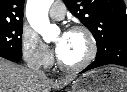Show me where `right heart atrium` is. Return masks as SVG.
<instances>
[{
	"instance_id": "right-heart-atrium-1",
	"label": "right heart atrium",
	"mask_w": 127,
	"mask_h": 92,
	"mask_svg": "<svg viewBox=\"0 0 127 92\" xmlns=\"http://www.w3.org/2000/svg\"><path fill=\"white\" fill-rule=\"evenodd\" d=\"M21 47L23 57L28 65L42 68L52 63L51 52L35 32L31 30L23 31Z\"/></svg>"
}]
</instances>
